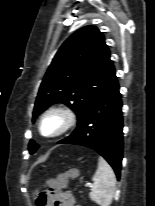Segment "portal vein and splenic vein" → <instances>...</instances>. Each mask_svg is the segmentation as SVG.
<instances>
[{"instance_id":"obj_1","label":"portal vein and splenic vein","mask_w":155,"mask_h":206,"mask_svg":"<svg viewBox=\"0 0 155 206\" xmlns=\"http://www.w3.org/2000/svg\"><path fill=\"white\" fill-rule=\"evenodd\" d=\"M85 187H92V184L91 183H85Z\"/></svg>"}]
</instances>
